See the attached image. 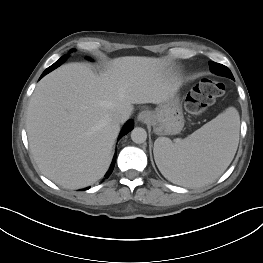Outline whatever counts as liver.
I'll list each match as a JSON object with an SVG mask.
<instances>
[{
    "label": "liver",
    "instance_id": "6515ba94",
    "mask_svg": "<svg viewBox=\"0 0 263 263\" xmlns=\"http://www.w3.org/2000/svg\"><path fill=\"white\" fill-rule=\"evenodd\" d=\"M181 82L161 59L115 58L96 75L82 63H69L46 75L30 98L26 131L41 172L64 188L101 179L109 168L120 131L117 112L131 115L133 104H162Z\"/></svg>",
    "mask_w": 263,
    "mask_h": 263
}]
</instances>
